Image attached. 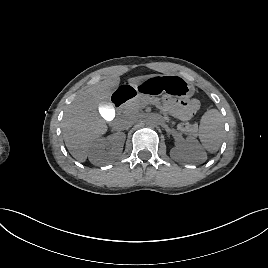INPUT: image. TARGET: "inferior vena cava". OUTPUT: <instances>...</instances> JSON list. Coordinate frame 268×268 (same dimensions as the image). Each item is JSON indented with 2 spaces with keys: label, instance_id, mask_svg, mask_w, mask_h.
<instances>
[{
  "label": "inferior vena cava",
  "instance_id": "1",
  "mask_svg": "<svg viewBox=\"0 0 268 268\" xmlns=\"http://www.w3.org/2000/svg\"><path fill=\"white\" fill-rule=\"evenodd\" d=\"M136 116L133 114H127L119 120V127L121 129H128L136 122Z\"/></svg>",
  "mask_w": 268,
  "mask_h": 268
}]
</instances>
